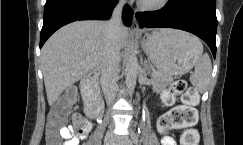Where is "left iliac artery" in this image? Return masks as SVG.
Listing matches in <instances>:
<instances>
[{
    "label": "left iliac artery",
    "instance_id": "1",
    "mask_svg": "<svg viewBox=\"0 0 243 145\" xmlns=\"http://www.w3.org/2000/svg\"><path fill=\"white\" fill-rule=\"evenodd\" d=\"M131 138H132L133 142L137 145L139 140H138V137L136 136V134L134 133V131H132V133H131Z\"/></svg>",
    "mask_w": 243,
    "mask_h": 145
}]
</instances>
